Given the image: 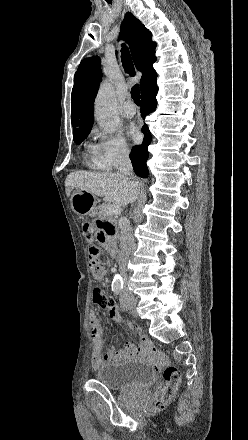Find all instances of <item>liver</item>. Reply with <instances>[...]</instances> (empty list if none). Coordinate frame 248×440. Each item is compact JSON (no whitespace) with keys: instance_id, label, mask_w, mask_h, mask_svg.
I'll list each match as a JSON object with an SVG mask.
<instances>
[{"instance_id":"obj_1","label":"liver","mask_w":248,"mask_h":440,"mask_svg":"<svg viewBox=\"0 0 248 440\" xmlns=\"http://www.w3.org/2000/svg\"><path fill=\"white\" fill-rule=\"evenodd\" d=\"M139 183L117 173H96L76 171L70 173L65 181L67 196L73 189L88 191L95 196L104 197L105 201L118 206L133 202L139 192Z\"/></svg>"}]
</instances>
